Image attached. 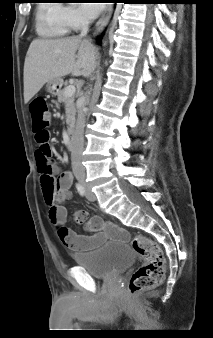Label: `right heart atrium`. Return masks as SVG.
I'll use <instances>...</instances> for the list:
<instances>
[{
  "instance_id": "d8ad5b80",
  "label": "right heart atrium",
  "mask_w": 213,
  "mask_h": 338,
  "mask_svg": "<svg viewBox=\"0 0 213 338\" xmlns=\"http://www.w3.org/2000/svg\"><path fill=\"white\" fill-rule=\"evenodd\" d=\"M62 19L70 29L84 27L88 20L76 5H65L62 7Z\"/></svg>"
}]
</instances>
